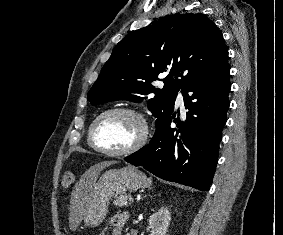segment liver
Here are the masks:
<instances>
[{
	"mask_svg": "<svg viewBox=\"0 0 283 235\" xmlns=\"http://www.w3.org/2000/svg\"><path fill=\"white\" fill-rule=\"evenodd\" d=\"M117 163L116 161H104L91 166L76 183L71 196L70 206V228L75 230L84 216V201L88 192L92 189L100 172Z\"/></svg>",
	"mask_w": 283,
	"mask_h": 235,
	"instance_id": "1",
	"label": "liver"
}]
</instances>
